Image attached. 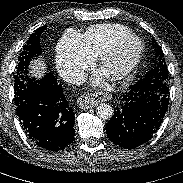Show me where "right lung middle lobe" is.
<instances>
[{
    "label": "right lung middle lobe",
    "mask_w": 183,
    "mask_h": 183,
    "mask_svg": "<svg viewBox=\"0 0 183 183\" xmlns=\"http://www.w3.org/2000/svg\"><path fill=\"white\" fill-rule=\"evenodd\" d=\"M45 29L46 26L36 29L35 32L31 34L27 43L23 46L16 66L15 85H17L20 80H23V77L28 76L27 69L30 61L41 54L42 50L39 40Z\"/></svg>",
    "instance_id": "dd1d6c3e"
}]
</instances>
